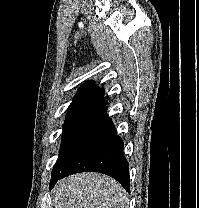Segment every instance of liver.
<instances>
[{
    "mask_svg": "<svg viewBox=\"0 0 199 208\" xmlns=\"http://www.w3.org/2000/svg\"><path fill=\"white\" fill-rule=\"evenodd\" d=\"M55 208H127L122 186L113 178L93 172L66 177L53 188Z\"/></svg>",
    "mask_w": 199,
    "mask_h": 208,
    "instance_id": "1",
    "label": "liver"
}]
</instances>
